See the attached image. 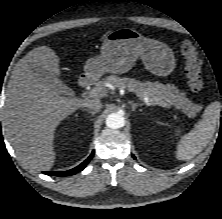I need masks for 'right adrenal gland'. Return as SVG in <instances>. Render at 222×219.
<instances>
[{
    "mask_svg": "<svg viewBox=\"0 0 222 219\" xmlns=\"http://www.w3.org/2000/svg\"><path fill=\"white\" fill-rule=\"evenodd\" d=\"M83 111L88 112L91 115H94L97 112L96 110H89V109H83Z\"/></svg>",
    "mask_w": 222,
    "mask_h": 219,
    "instance_id": "obj_1",
    "label": "right adrenal gland"
}]
</instances>
